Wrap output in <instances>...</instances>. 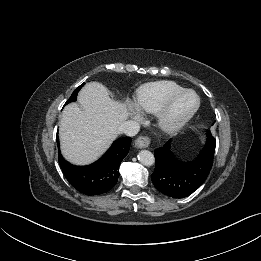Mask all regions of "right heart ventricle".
Here are the masks:
<instances>
[{
	"instance_id": "1",
	"label": "right heart ventricle",
	"mask_w": 261,
	"mask_h": 261,
	"mask_svg": "<svg viewBox=\"0 0 261 261\" xmlns=\"http://www.w3.org/2000/svg\"><path fill=\"white\" fill-rule=\"evenodd\" d=\"M182 89L181 85L173 81L147 83L137 91L136 106L144 113L157 114L164 103Z\"/></svg>"
}]
</instances>
